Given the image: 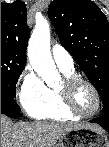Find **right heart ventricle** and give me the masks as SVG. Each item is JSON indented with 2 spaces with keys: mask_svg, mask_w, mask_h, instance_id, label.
Segmentation results:
<instances>
[{
  "mask_svg": "<svg viewBox=\"0 0 109 147\" xmlns=\"http://www.w3.org/2000/svg\"><path fill=\"white\" fill-rule=\"evenodd\" d=\"M63 72L66 77L74 75L73 70ZM51 95V102L47 106L34 110L30 115L37 119H50L54 121H68L78 118L71 114L64 106L58 90H51Z\"/></svg>",
  "mask_w": 109,
  "mask_h": 147,
  "instance_id": "e07e8e85",
  "label": "right heart ventricle"
}]
</instances>
